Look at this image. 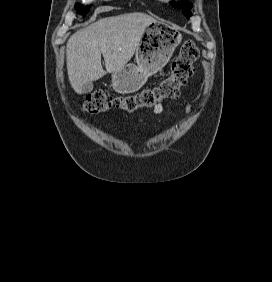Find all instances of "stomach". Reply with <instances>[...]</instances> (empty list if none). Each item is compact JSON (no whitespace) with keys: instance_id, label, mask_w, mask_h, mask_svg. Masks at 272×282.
<instances>
[{"instance_id":"0dacf381","label":"stomach","mask_w":272,"mask_h":282,"mask_svg":"<svg viewBox=\"0 0 272 282\" xmlns=\"http://www.w3.org/2000/svg\"><path fill=\"white\" fill-rule=\"evenodd\" d=\"M182 36L167 24L155 22L150 24L142 34L136 49V64H126L112 73L114 90L121 94L138 91L148 77L160 71L171 58L180 44Z\"/></svg>"}]
</instances>
